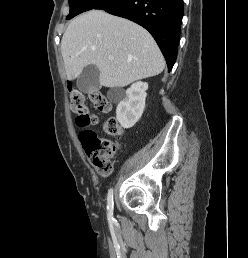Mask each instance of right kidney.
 <instances>
[{
  "label": "right kidney",
  "instance_id": "ca27d5eb",
  "mask_svg": "<svg viewBox=\"0 0 248 258\" xmlns=\"http://www.w3.org/2000/svg\"><path fill=\"white\" fill-rule=\"evenodd\" d=\"M146 82H136L125 92L113 90L108 93L109 99L117 101L116 118L123 128H131L140 119L145 108Z\"/></svg>",
  "mask_w": 248,
  "mask_h": 258
}]
</instances>
